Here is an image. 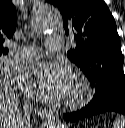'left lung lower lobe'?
I'll return each instance as SVG.
<instances>
[{"mask_svg":"<svg viewBox=\"0 0 125 128\" xmlns=\"http://www.w3.org/2000/svg\"><path fill=\"white\" fill-rule=\"evenodd\" d=\"M104 112H117L125 115V84L114 86L98 101H91L81 110L64 115L67 122L91 117Z\"/></svg>","mask_w":125,"mask_h":128,"instance_id":"left-lung-lower-lobe-1","label":"left lung lower lobe"}]
</instances>
